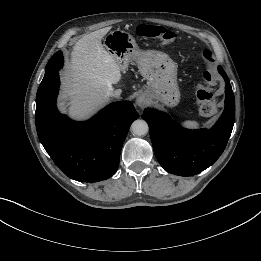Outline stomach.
I'll list each match as a JSON object with an SVG mask.
<instances>
[{"mask_svg":"<svg viewBox=\"0 0 261 261\" xmlns=\"http://www.w3.org/2000/svg\"><path fill=\"white\" fill-rule=\"evenodd\" d=\"M105 46L120 68L125 69L132 61L147 80L144 95L151 102L173 107L180 101L177 85V64L165 53L156 50H142L134 37L117 29L105 37Z\"/></svg>","mask_w":261,"mask_h":261,"instance_id":"1","label":"stomach"}]
</instances>
